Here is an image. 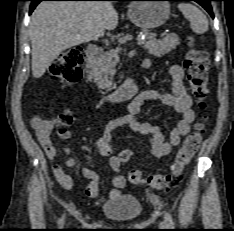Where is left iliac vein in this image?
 I'll return each mask as SVG.
<instances>
[{"mask_svg":"<svg viewBox=\"0 0 234 231\" xmlns=\"http://www.w3.org/2000/svg\"><path fill=\"white\" fill-rule=\"evenodd\" d=\"M160 226L165 227V222H161Z\"/></svg>","mask_w":234,"mask_h":231,"instance_id":"4c4485c4","label":"left iliac vein"}]
</instances>
